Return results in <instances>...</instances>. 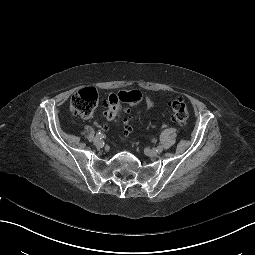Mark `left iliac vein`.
I'll return each mask as SVG.
<instances>
[{"instance_id":"4c4485c4","label":"left iliac vein","mask_w":255,"mask_h":255,"mask_svg":"<svg viewBox=\"0 0 255 255\" xmlns=\"http://www.w3.org/2000/svg\"><path fill=\"white\" fill-rule=\"evenodd\" d=\"M145 152H146V155H148L149 157H155V156H157V152H156L155 150L146 149Z\"/></svg>"}]
</instances>
